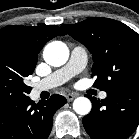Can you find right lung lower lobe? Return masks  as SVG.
<instances>
[{
	"label": "right lung lower lobe",
	"instance_id": "right-lung-lower-lobe-1",
	"mask_svg": "<svg viewBox=\"0 0 139 139\" xmlns=\"http://www.w3.org/2000/svg\"><path fill=\"white\" fill-rule=\"evenodd\" d=\"M66 102L58 94L37 104L29 97L0 101V139H47L54 113Z\"/></svg>",
	"mask_w": 139,
	"mask_h": 139
}]
</instances>
